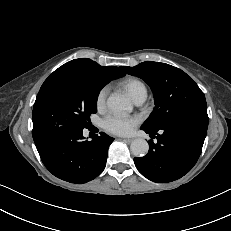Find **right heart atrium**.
<instances>
[{"instance_id": "1", "label": "right heart atrium", "mask_w": 231, "mask_h": 231, "mask_svg": "<svg viewBox=\"0 0 231 231\" xmlns=\"http://www.w3.org/2000/svg\"><path fill=\"white\" fill-rule=\"evenodd\" d=\"M107 93H108V89L106 87H103L102 89L99 90L96 96L97 108L101 109L104 107L105 102H106Z\"/></svg>"}]
</instances>
